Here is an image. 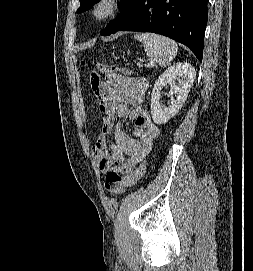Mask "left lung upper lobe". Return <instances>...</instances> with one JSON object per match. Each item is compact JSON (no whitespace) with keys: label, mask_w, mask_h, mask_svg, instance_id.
I'll return each instance as SVG.
<instances>
[{"label":"left lung upper lobe","mask_w":253,"mask_h":271,"mask_svg":"<svg viewBox=\"0 0 253 271\" xmlns=\"http://www.w3.org/2000/svg\"><path fill=\"white\" fill-rule=\"evenodd\" d=\"M99 0H80V7L77 10L78 13L84 12L90 9L94 4H96ZM134 0H121L120 9L121 12L118 17L113 20L106 29L102 32L103 36L110 35L113 33L130 15L134 4Z\"/></svg>","instance_id":"obj_1"}]
</instances>
